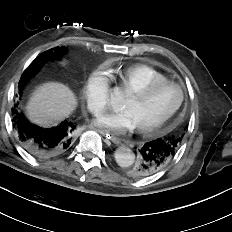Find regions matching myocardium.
I'll use <instances>...</instances> for the list:
<instances>
[{
  "mask_svg": "<svg viewBox=\"0 0 232 232\" xmlns=\"http://www.w3.org/2000/svg\"><path fill=\"white\" fill-rule=\"evenodd\" d=\"M166 86H175L179 89L180 91V99L177 102V104L170 110V112L165 115L162 119H160L159 121L148 125V126H142V127H138L137 130L139 133L143 134V135H150L155 133L156 131L162 129L164 126L167 125V123L175 116V114L180 110V108L183 105V102L185 100V90L183 88V86L175 81H171V80H165V81H161V82H153L150 83L140 89L131 91L128 93V95L139 99V100H144L146 98H148L153 92H155L156 90L166 87Z\"/></svg>",
  "mask_w": 232,
  "mask_h": 232,
  "instance_id": "obj_1",
  "label": "myocardium"
}]
</instances>
